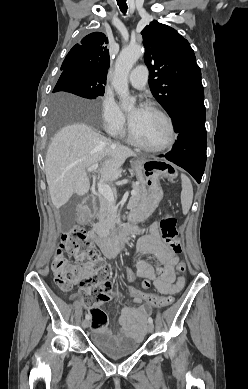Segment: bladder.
Returning a JSON list of instances; mask_svg holds the SVG:
<instances>
[{
    "label": "bladder",
    "instance_id": "bladder-1",
    "mask_svg": "<svg viewBox=\"0 0 248 389\" xmlns=\"http://www.w3.org/2000/svg\"><path fill=\"white\" fill-rule=\"evenodd\" d=\"M93 346L103 355L119 359L130 356L140 349L137 341L123 334H108L106 331H94Z\"/></svg>",
    "mask_w": 248,
    "mask_h": 389
}]
</instances>
